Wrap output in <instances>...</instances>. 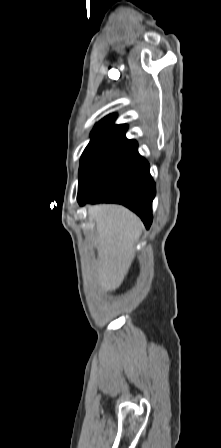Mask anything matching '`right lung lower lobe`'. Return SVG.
I'll return each mask as SVG.
<instances>
[{"label": "right lung lower lobe", "mask_w": 221, "mask_h": 448, "mask_svg": "<svg viewBox=\"0 0 221 448\" xmlns=\"http://www.w3.org/2000/svg\"><path fill=\"white\" fill-rule=\"evenodd\" d=\"M137 147L136 141L128 140L113 149L78 191L77 200L81 206L99 202L123 204L149 228L156 189L149 164Z\"/></svg>", "instance_id": "obj_1"}]
</instances>
